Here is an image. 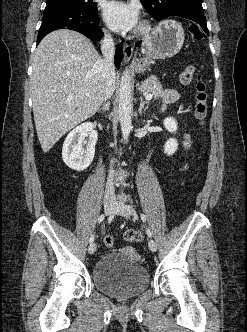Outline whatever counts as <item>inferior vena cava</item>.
Returning <instances> with one entry per match:
<instances>
[{"label": "inferior vena cava", "mask_w": 247, "mask_h": 332, "mask_svg": "<svg viewBox=\"0 0 247 332\" xmlns=\"http://www.w3.org/2000/svg\"><path fill=\"white\" fill-rule=\"evenodd\" d=\"M101 51L104 56V59L102 60V74L106 83L105 87V100H106V98L107 99L110 98L115 91V66H114L115 44L111 36L107 33L105 34L102 40ZM113 180H114V173H113V168L111 166L106 183V189L104 194L105 199L115 198V188Z\"/></svg>", "instance_id": "1"}]
</instances>
